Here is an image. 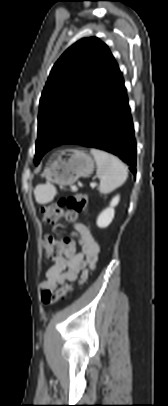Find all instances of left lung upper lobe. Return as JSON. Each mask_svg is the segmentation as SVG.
<instances>
[{"instance_id":"obj_1","label":"left lung upper lobe","mask_w":168,"mask_h":406,"mask_svg":"<svg viewBox=\"0 0 168 406\" xmlns=\"http://www.w3.org/2000/svg\"><path fill=\"white\" fill-rule=\"evenodd\" d=\"M118 71L108 46L96 37L84 38L62 54L40 99L36 164L80 130Z\"/></svg>"}]
</instances>
